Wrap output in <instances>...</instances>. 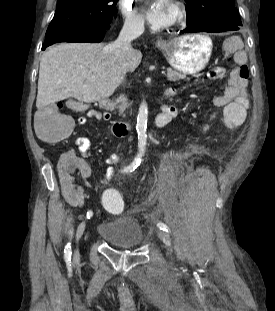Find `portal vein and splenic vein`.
<instances>
[{
    "label": "portal vein and splenic vein",
    "instance_id": "portal-vein-and-splenic-vein-1",
    "mask_svg": "<svg viewBox=\"0 0 275 311\" xmlns=\"http://www.w3.org/2000/svg\"><path fill=\"white\" fill-rule=\"evenodd\" d=\"M161 74H165V71H161Z\"/></svg>",
    "mask_w": 275,
    "mask_h": 311
}]
</instances>
